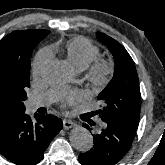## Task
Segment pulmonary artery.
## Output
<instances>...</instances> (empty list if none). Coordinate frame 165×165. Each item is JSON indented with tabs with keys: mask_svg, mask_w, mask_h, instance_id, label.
<instances>
[{
	"mask_svg": "<svg viewBox=\"0 0 165 165\" xmlns=\"http://www.w3.org/2000/svg\"><path fill=\"white\" fill-rule=\"evenodd\" d=\"M57 97L56 90H50L40 95L31 97L27 102V108L29 111H34L39 107L47 106L53 102Z\"/></svg>",
	"mask_w": 165,
	"mask_h": 165,
	"instance_id": "pulmonary-artery-1",
	"label": "pulmonary artery"
}]
</instances>
